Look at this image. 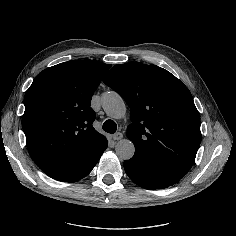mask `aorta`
I'll list each match as a JSON object with an SVG mask.
<instances>
[{
    "label": "aorta",
    "mask_w": 236,
    "mask_h": 236,
    "mask_svg": "<svg viewBox=\"0 0 236 236\" xmlns=\"http://www.w3.org/2000/svg\"><path fill=\"white\" fill-rule=\"evenodd\" d=\"M102 107L106 114L114 119L124 117L126 105L123 98L116 92H107L101 98ZM119 159H131L135 153L134 144L128 139L120 140L115 147Z\"/></svg>",
    "instance_id": "1"
}]
</instances>
